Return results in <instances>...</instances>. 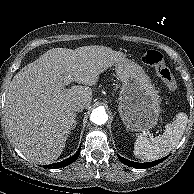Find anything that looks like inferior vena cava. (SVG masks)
I'll return each mask as SVG.
<instances>
[{"label":"inferior vena cava","instance_id":"602c4592","mask_svg":"<svg viewBox=\"0 0 194 194\" xmlns=\"http://www.w3.org/2000/svg\"><path fill=\"white\" fill-rule=\"evenodd\" d=\"M85 108V105L83 103H76L73 106V110L75 112H81Z\"/></svg>","mask_w":194,"mask_h":194}]
</instances>
